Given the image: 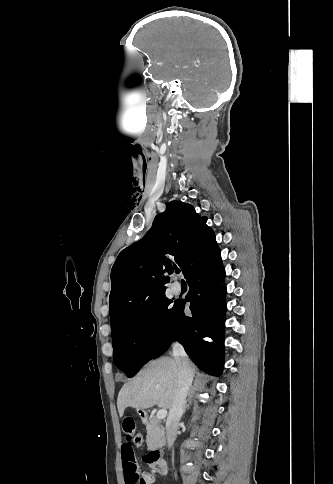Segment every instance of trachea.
<instances>
[{"instance_id":"3493384b","label":"trachea","mask_w":333,"mask_h":484,"mask_svg":"<svg viewBox=\"0 0 333 484\" xmlns=\"http://www.w3.org/2000/svg\"><path fill=\"white\" fill-rule=\"evenodd\" d=\"M176 273H180V270H177Z\"/></svg>"}]
</instances>
